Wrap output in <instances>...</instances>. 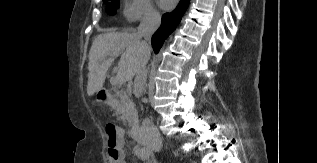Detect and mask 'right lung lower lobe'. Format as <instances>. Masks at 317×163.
<instances>
[{
	"instance_id": "1",
	"label": "right lung lower lobe",
	"mask_w": 317,
	"mask_h": 163,
	"mask_svg": "<svg viewBox=\"0 0 317 163\" xmlns=\"http://www.w3.org/2000/svg\"><path fill=\"white\" fill-rule=\"evenodd\" d=\"M190 0H181L178 6L171 13H165L162 17L160 28L152 36V46L155 53L163 45L164 40L173 32L179 24L184 12L186 11Z\"/></svg>"
}]
</instances>
